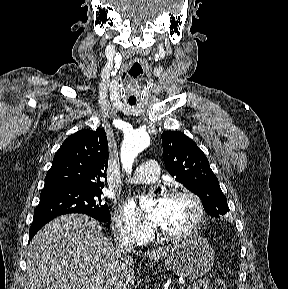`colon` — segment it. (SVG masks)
<instances>
[{
  "mask_svg": "<svg viewBox=\"0 0 288 289\" xmlns=\"http://www.w3.org/2000/svg\"><path fill=\"white\" fill-rule=\"evenodd\" d=\"M211 289H227V285L224 280L217 279L212 283Z\"/></svg>",
  "mask_w": 288,
  "mask_h": 289,
  "instance_id": "colon-1",
  "label": "colon"
}]
</instances>
